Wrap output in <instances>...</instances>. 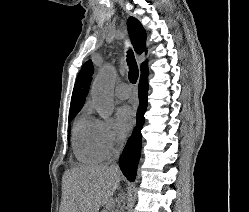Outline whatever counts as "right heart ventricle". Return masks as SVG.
I'll return each instance as SVG.
<instances>
[{
  "label": "right heart ventricle",
  "mask_w": 249,
  "mask_h": 212,
  "mask_svg": "<svg viewBox=\"0 0 249 212\" xmlns=\"http://www.w3.org/2000/svg\"><path fill=\"white\" fill-rule=\"evenodd\" d=\"M95 121L81 116L73 124L71 146L76 159L84 163H95L101 160L96 142Z\"/></svg>",
  "instance_id": "e07e8e85"
}]
</instances>
